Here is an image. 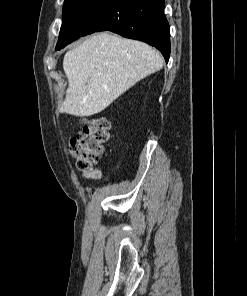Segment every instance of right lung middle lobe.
Returning a JSON list of instances; mask_svg holds the SVG:
<instances>
[{"instance_id": "right-lung-middle-lobe-1", "label": "right lung middle lobe", "mask_w": 247, "mask_h": 296, "mask_svg": "<svg viewBox=\"0 0 247 296\" xmlns=\"http://www.w3.org/2000/svg\"><path fill=\"white\" fill-rule=\"evenodd\" d=\"M108 0H65L63 22L56 50L75 41L85 32L88 20Z\"/></svg>"}]
</instances>
